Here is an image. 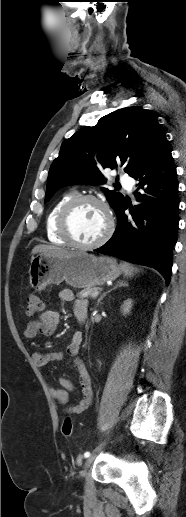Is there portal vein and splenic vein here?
Instances as JSON below:
<instances>
[{
    "label": "portal vein and splenic vein",
    "mask_w": 186,
    "mask_h": 517,
    "mask_svg": "<svg viewBox=\"0 0 186 517\" xmlns=\"http://www.w3.org/2000/svg\"><path fill=\"white\" fill-rule=\"evenodd\" d=\"M99 295V291H95L92 295V297H97Z\"/></svg>",
    "instance_id": "portal-vein-and-splenic-vein-1"
}]
</instances>
